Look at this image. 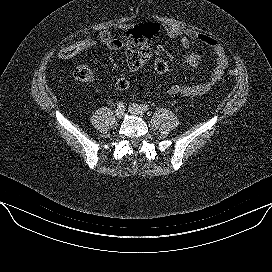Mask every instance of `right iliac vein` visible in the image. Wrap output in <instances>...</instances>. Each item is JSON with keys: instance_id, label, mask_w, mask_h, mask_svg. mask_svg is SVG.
<instances>
[{"instance_id": "1", "label": "right iliac vein", "mask_w": 272, "mask_h": 272, "mask_svg": "<svg viewBox=\"0 0 272 272\" xmlns=\"http://www.w3.org/2000/svg\"><path fill=\"white\" fill-rule=\"evenodd\" d=\"M123 114H124V112H123L122 109H116V111H115V116H116L118 119L122 118V117H123Z\"/></svg>"}]
</instances>
